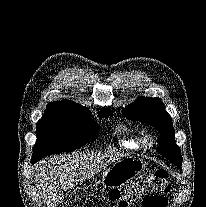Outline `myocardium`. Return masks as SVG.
<instances>
[{
	"label": "myocardium",
	"instance_id": "obj_1",
	"mask_svg": "<svg viewBox=\"0 0 206 207\" xmlns=\"http://www.w3.org/2000/svg\"><path fill=\"white\" fill-rule=\"evenodd\" d=\"M143 139H144V144L147 146H152L156 141V138L152 133H146Z\"/></svg>",
	"mask_w": 206,
	"mask_h": 207
}]
</instances>
